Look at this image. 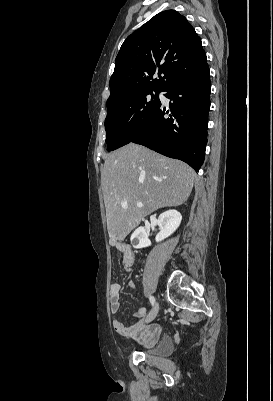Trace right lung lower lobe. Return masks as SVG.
<instances>
[{"instance_id": "98d812e1", "label": "right lung lower lobe", "mask_w": 273, "mask_h": 401, "mask_svg": "<svg viewBox=\"0 0 273 401\" xmlns=\"http://www.w3.org/2000/svg\"><path fill=\"white\" fill-rule=\"evenodd\" d=\"M169 110L158 106L130 142L180 159L195 171L201 167L207 143L210 109V71L207 62L181 69L161 90ZM169 114L170 118H166Z\"/></svg>"}]
</instances>
